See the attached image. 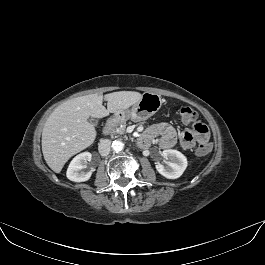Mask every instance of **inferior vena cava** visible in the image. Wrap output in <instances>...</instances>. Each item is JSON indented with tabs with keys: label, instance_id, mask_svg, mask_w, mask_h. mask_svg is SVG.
<instances>
[{
	"label": "inferior vena cava",
	"instance_id": "602c4592",
	"mask_svg": "<svg viewBox=\"0 0 265 265\" xmlns=\"http://www.w3.org/2000/svg\"><path fill=\"white\" fill-rule=\"evenodd\" d=\"M111 141L108 139H103L100 141L98 150L101 156H107L110 153Z\"/></svg>",
	"mask_w": 265,
	"mask_h": 265
}]
</instances>
